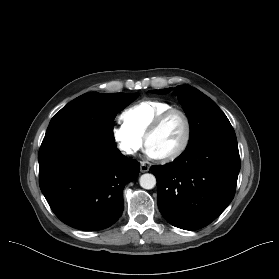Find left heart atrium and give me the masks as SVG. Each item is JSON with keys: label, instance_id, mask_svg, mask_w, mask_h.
Instances as JSON below:
<instances>
[{"label": "left heart atrium", "instance_id": "39dd6f15", "mask_svg": "<svg viewBox=\"0 0 279 279\" xmlns=\"http://www.w3.org/2000/svg\"><path fill=\"white\" fill-rule=\"evenodd\" d=\"M147 154L152 158H158L159 156L149 147H147Z\"/></svg>", "mask_w": 279, "mask_h": 279}]
</instances>
